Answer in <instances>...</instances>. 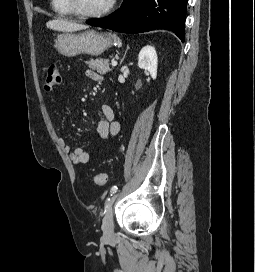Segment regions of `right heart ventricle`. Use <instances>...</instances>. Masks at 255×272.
<instances>
[{
  "label": "right heart ventricle",
  "instance_id": "1",
  "mask_svg": "<svg viewBox=\"0 0 255 272\" xmlns=\"http://www.w3.org/2000/svg\"><path fill=\"white\" fill-rule=\"evenodd\" d=\"M51 9L54 13L60 16L69 17L73 14L66 6L65 0H51Z\"/></svg>",
  "mask_w": 255,
  "mask_h": 272
}]
</instances>
